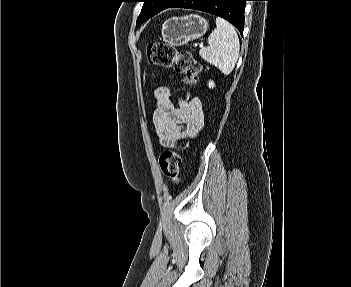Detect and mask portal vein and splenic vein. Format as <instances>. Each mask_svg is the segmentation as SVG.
<instances>
[{
  "label": "portal vein and splenic vein",
  "instance_id": "1",
  "mask_svg": "<svg viewBox=\"0 0 351 287\" xmlns=\"http://www.w3.org/2000/svg\"><path fill=\"white\" fill-rule=\"evenodd\" d=\"M199 47H200V48H203V44H200Z\"/></svg>",
  "mask_w": 351,
  "mask_h": 287
}]
</instances>
